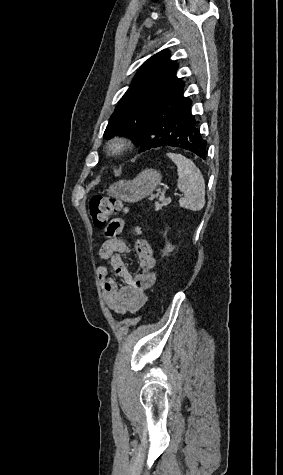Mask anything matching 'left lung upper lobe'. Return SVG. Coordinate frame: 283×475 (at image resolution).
<instances>
[{"mask_svg": "<svg viewBox=\"0 0 283 475\" xmlns=\"http://www.w3.org/2000/svg\"><path fill=\"white\" fill-rule=\"evenodd\" d=\"M163 50L141 66L112 114L104 138L117 134L138 136L152 109L183 81L176 77L178 64Z\"/></svg>", "mask_w": 283, "mask_h": 475, "instance_id": "5c2ea615", "label": "left lung upper lobe"}]
</instances>
